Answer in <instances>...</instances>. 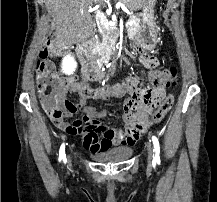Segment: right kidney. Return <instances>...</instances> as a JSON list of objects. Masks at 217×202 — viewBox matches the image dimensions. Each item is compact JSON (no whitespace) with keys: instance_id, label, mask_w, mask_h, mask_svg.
Segmentation results:
<instances>
[{"instance_id":"right-kidney-1","label":"right kidney","mask_w":217,"mask_h":202,"mask_svg":"<svg viewBox=\"0 0 217 202\" xmlns=\"http://www.w3.org/2000/svg\"><path fill=\"white\" fill-rule=\"evenodd\" d=\"M62 72H64V74H68V76H70V74H74L76 68H77V62H75L74 58H72V56H65V58H63V62H62Z\"/></svg>"}]
</instances>
